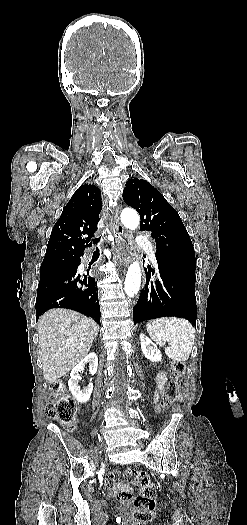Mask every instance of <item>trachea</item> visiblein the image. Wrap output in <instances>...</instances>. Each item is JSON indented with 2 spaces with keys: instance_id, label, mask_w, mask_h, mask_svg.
<instances>
[{
  "instance_id": "1",
  "label": "trachea",
  "mask_w": 247,
  "mask_h": 525,
  "mask_svg": "<svg viewBox=\"0 0 247 525\" xmlns=\"http://www.w3.org/2000/svg\"><path fill=\"white\" fill-rule=\"evenodd\" d=\"M99 242H100V238H97V239H95V240L92 241L93 244H98ZM99 251H100L99 248L96 247L95 253H96V252H99Z\"/></svg>"
}]
</instances>
